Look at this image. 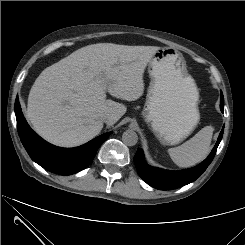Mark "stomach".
Returning a JSON list of instances; mask_svg holds the SVG:
<instances>
[{"label":"stomach","mask_w":245,"mask_h":245,"mask_svg":"<svg viewBox=\"0 0 245 245\" xmlns=\"http://www.w3.org/2000/svg\"><path fill=\"white\" fill-rule=\"evenodd\" d=\"M151 78L142 116L166 145L183 141L200 120L199 91L183 55L160 47L148 63Z\"/></svg>","instance_id":"1"}]
</instances>
